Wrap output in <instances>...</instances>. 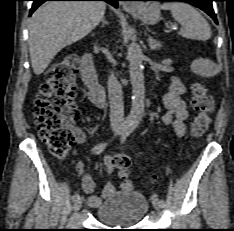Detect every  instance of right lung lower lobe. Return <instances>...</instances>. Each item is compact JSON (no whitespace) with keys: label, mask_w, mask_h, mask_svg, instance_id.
I'll return each mask as SVG.
<instances>
[{"label":"right lung lower lobe","mask_w":234,"mask_h":231,"mask_svg":"<svg viewBox=\"0 0 234 231\" xmlns=\"http://www.w3.org/2000/svg\"><path fill=\"white\" fill-rule=\"evenodd\" d=\"M33 5L30 10V15L45 1H93V0H32ZM94 1H106L107 3L113 5L114 7H118L119 0H94Z\"/></svg>","instance_id":"obj_1"}]
</instances>
